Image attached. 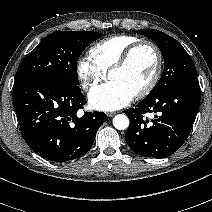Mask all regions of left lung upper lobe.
I'll return each mask as SVG.
<instances>
[{
	"instance_id": "5c2ea615",
	"label": "left lung upper lobe",
	"mask_w": 212,
	"mask_h": 212,
	"mask_svg": "<svg viewBox=\"0 0 212 212\" xmlns=\"http://www.w3.org/2000/svg\"><path fill=\"white\" fill-rule=\"evenodd\" d=\"M137 33L155 41L164 57V72L149 94L160 92L177 82L197 76L191 57L174 38L159 30H138Z\"/></svg>"
}]
</instances>
